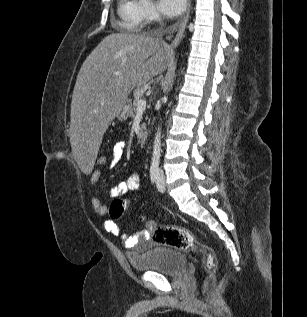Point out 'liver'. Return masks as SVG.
Listing matches in <instances>:
<instances>
[{
  "instance_id": "6515ba94",
  "label": "liver",
  "mask_w": 307,
  "mask_h": 317,
  "mask_svg": "<svg viewBox=\"0 0 307 317\" xmlns=\"http://www.w3.org/2000/svg\"><path fill=\"white\" fill-rule=\"evenodd\" d=\"M166 70L158 39L112 33L84 61L71 101L70 142L78 171L91 175L103 135L132 90Z\"/></svg>"
}]
</instances>
